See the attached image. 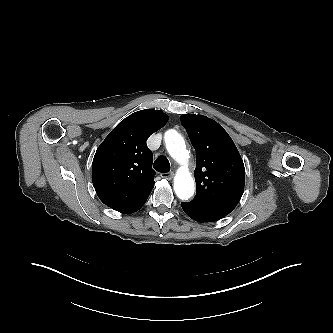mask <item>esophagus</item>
<instances>
[{"mask_svg": "<svg viewBox=\"0 0 333 333\" xmlns=\"http://www.w3.org/2000/svg\"><path fill=\"white\" fill-rule=\"evenodd\" d=\"M160 176L164 179L167 180H172L174 177V173L173 172H169V173H161Z\"/></svg>", "mask_w": 333, "mask_h": 333, "instance_id": "1", "label": "esophagus"}]
</instances>
